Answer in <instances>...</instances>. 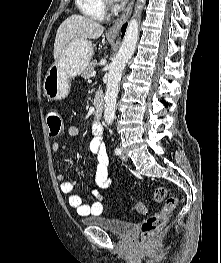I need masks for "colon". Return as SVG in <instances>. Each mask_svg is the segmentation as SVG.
<instances>
[{"mask_svg": "<svg viewBox=\"0 0 221 263\" xmlns=\"http://www.w3.org/2000/svg\"><path fill=\"white\" fill-rule=\"evenodd\" d=\"M49 136L52 138L58 137L63 131V120L60 112L57 109H50L46 115ZM169 188L159 186L154 191V200L161 202L165 200L164 206L158 213L147 217L141 224L142 238L150 242L155 236L167 225L169 216L177 207V198L168 196ZM132 209L138 214H146V206L143 202H134Z\"/></svg>", "mask_w": 221, "mask_h": 263, "instance_id": "obj_1", "label": "colon"}]
</instances>
